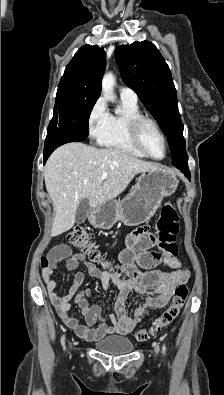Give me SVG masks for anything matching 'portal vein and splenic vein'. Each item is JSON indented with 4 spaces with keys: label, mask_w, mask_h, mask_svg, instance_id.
<instances>
[{
    "label": "portal vein and splenic vein",
    "mask_w": 224,
    "mask_h": 395,
    "mask_svg": "<svg viewBox=\"0 0 224 395\" xmlns=\"http://www.w3.org/2000/svg\"><path fill=\"white\" fill-rule=\"evenodd\" d=\"M107 176H108V173L107 172H103L102 175H101V180L102 181L105 180L107 178Z\"/></svg>",
    "instance_id": "portal-vein-and-splenic-vein-1"
}]
</instances>
